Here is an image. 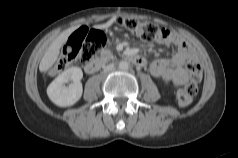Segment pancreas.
Masks as SVG:
<instances>
[{
    "label": "pancreas",
    "instance_id": "1",
    "mask_svg": "<svg viewBox=\"0 0 238 158\" xmlns=\"http://www.w3.org/2000/svg\"><path fill=\"white\" fill-rule=\"evenodd\" d=\"M101 55L102 56H107V57H112L113 56V54L110 50H102Z\"/></svg>",
    "mask_w": 238,
    "mask_h": 158
}]
</instances>
